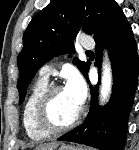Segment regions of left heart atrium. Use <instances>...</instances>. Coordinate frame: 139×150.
<instances>
[{
  "label": "left heart atrium",
  "instance_id": "left-heart-atrium-1",
  "mask_svg": "<svg viewBox=\"0 0 139 150\" xmlns=\"http://www.w3.org/2000/svg\"><path fill=\"white\" fill-rule=\"evenodd\" d=\"M66 91L79 104L82 105L85 101L87 89L84 80L77 73H72L67 80Z\"/></svg>",
  "mask_w": 139,
  "mask_h": 150
}]
</instances>
